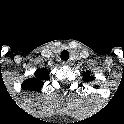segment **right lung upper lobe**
<instances>
[{
    "mask_svg": "<svg viewBox=\"0 0 124 124\" xmlns=\"http://www.w3.org/2000/svg\"><path fill=\"white\" fill-rule=\"evenodd\" d=\"M34 78H29L26 79L23 83H22V88L24 90H29V91H40L44 82L46 80H49V71H47L46 69H39L34 73Z\"/></svg>",
    "mask_w": 124,
    "mask_h": 124,
    "instance_id": "1",
    "label": "right lung upper lobe"
}]
</instances>
